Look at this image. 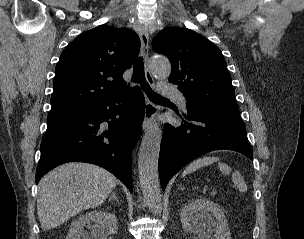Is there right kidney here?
Returning a JSON list of instances; mask_svg holds the SVG:
<instances>
[{
	"instance_id": "right-kidney-1",
	"label": "right kidney",
	"mask_w": 304,
	"mask_h": 239,
	"mask_svg": "<svg viewBox=\"0 0 304 239\" xmlns=\"http://www.w3.org/2000/svg\"><path fill=\"white\" fill-rule=\"evenodd\" d=\"M86 224L90 225V232L84 230ZM117 229L118 222L114 214L94 210L72 222L66 239H107V236L115 234Z\"/></svg>"
}]
</instances>
